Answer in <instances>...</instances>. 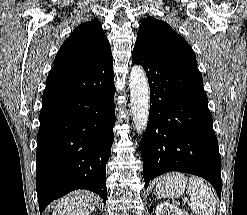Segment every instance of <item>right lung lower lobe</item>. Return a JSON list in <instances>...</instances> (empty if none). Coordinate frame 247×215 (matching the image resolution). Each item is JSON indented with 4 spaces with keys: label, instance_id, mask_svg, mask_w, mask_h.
Instances as JSON below:
<instances>
[{
    "label": "right lung lower lobe",
    "instance_id": "1",
    "mask_svg": "<svg viewBox=\"0 0 247 215\" xmlns=\"http://www.w3.org/2000/svg\"><path fill=\"white\" fill-rule=\"evenodd\" d=\"M113 57L86 71L54 66L42 97L36 152L40 214L53 200L87 189L106 203L114 140Z\"/></svg>",
    "mask_w": 247,
    "mask_h": 215
}]
</instances>
